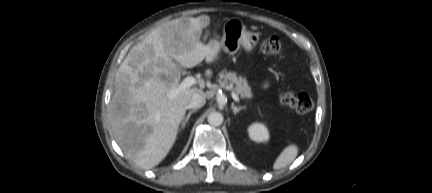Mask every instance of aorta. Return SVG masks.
Instances as JSON below:
<instances>
[{
	"label": "aorta",
	"instance_id": "obj_1",
	"mask_svg": "<svg viewBox=\"0 0 432 193\" xmlns=\"http://www.w3.org/2000/svg\"><path fill=\"white\" fill-rule=\"evenodd\" d=\"M223 115L220 112H211L208 117L207 121L212 126H219L223 123Z\"/></svg>",
	"mask_w": 432,
	"mask_h": 193
}]
</instances>
